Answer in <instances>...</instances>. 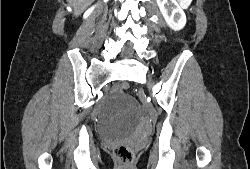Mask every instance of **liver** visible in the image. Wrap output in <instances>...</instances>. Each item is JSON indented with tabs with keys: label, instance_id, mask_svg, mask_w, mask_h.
Here are the masks:
<instances>
[{
	"label": "liver",
	"instance_id": "1",
	"mask_svg": "<svg viewBox=\"0 0 250 169\" xmlns=\"http://www.w3.org/2000/svg\"><path fill=\"white\" fill-rule=\"evenodd\" d=\"M68 2L73 6L74 14L77 16V14H81L91 4L92 0H68Z\"/></svg>",
	"mask_w": 250,
	"mask_h": 169
}]
</instances>
